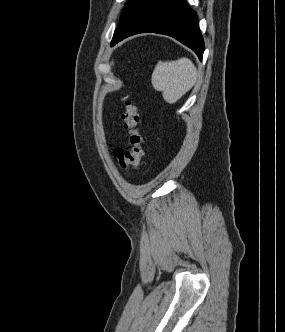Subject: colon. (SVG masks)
<instances>
[{"label": "colon", "instance_id": "colon-1", "mask_svg": "<svg viewBox=\"0 0 285 332\" xmlns=\"http://www.w3.org/2000/svg\"><path fill=\"white\" fill-rule=\"evenodd\" d=\"M121 120L128 132L127 146L125 148H114L112 151L113 157L121 168H135L139 165L145 152L143 137L139 128V109L131 99L124 101Z\"/></svg>", "mask_w": 285, "mask_h": 332}]
</instances>
